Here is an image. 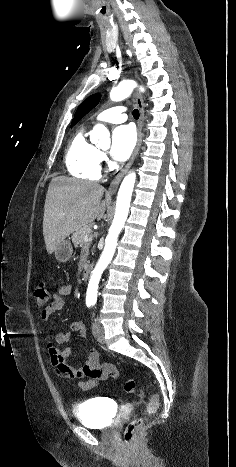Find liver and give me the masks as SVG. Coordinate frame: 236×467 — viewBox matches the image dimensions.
Masks as SVG:
<instances>
[{"label": "liver", "instance_id": "obj_1", "mask_svg": "<svg viewBox=\"0 0 236 467\" xmlns=\"http://www.w3.org/2000/svg\"><path fill=\"white\" fill-rule=\"evenodd\" d=\"M104 187L64 176L52 179L44 205L43 235L48 254L71 233L104 217Z\"/></svg>", "mask_w": 236, "mask_h": 467}]
</instances>
